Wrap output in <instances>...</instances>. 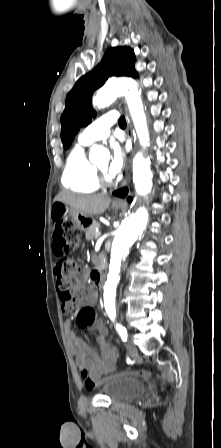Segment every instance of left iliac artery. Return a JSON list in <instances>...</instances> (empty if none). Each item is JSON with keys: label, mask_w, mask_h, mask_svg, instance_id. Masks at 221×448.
Segmentation results:
<instances>
[{"label": "left iliac artery", "mask_w": 221, "mask_h": 448, "mask_svg": "<svg viewBox=\"0 0 221 448\" xmlns=\"http://www.w3.org/2000/svg\"><path fill=\"white\" fill-rule=\"evenodd\" d=\"M109 317L111 318L112 321L115 320V314H109ZM115 327H116V330L118 331L121 339L124 342L127 341L128 334H127L126 328L123 327L121 324H118V323L115 324Z\"/></svg>", "instance_id": "1"}]
</instances>
